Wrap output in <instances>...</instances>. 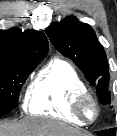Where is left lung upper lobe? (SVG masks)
Returning <instances> with one entry per match:
<instances>
[{"instance_id":"5c2ea615","label":"left lung upper lobe","mask_w":117,"mask_h":136,"mask_svg":"<svg viewBox=\"0 0 117 136\" xmlns=\"http://www.w3.org/2000/svg\"><path fill=\"white\" fill-rule=\"evenodd\" d=\"M54 47L69 57L92 85H98L97 95L103 104L110 102L109 66L103 46L91 26L69 17L46 29Z\"/></svg>"}]
</instances>
